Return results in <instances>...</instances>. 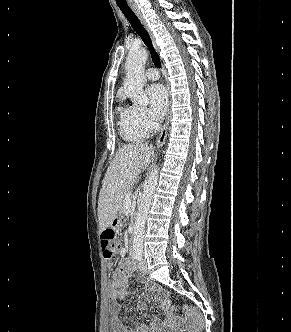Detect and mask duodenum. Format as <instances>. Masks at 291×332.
<instances>
[{
    "instance_id": "1",
    "label": "duodenum",
    "mask_w": 291,
    "mask_h": 332,
    "mask_svg": "<svg viewBox=\"0 0 291 332\" xmlns=\"http://www.w3.org/2000/svg\"><path fill=\"white\" fill-rule=\"evenodd\" d=\"M131 228L134 229L135 228V222L133 221L132 224H131ZM129 254L132 255L133 254V249L132 247L130 248L129 250Z\"/></svg>"
}]
</instances>
